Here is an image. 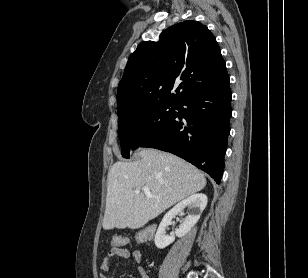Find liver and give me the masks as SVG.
<instances>
[{"instance_id":"liver-1","label":"liver","mask_w":308,"mask_h":278,"mask_svg":"<svg viewBox=\"0 0 308 278\" xmlns=\"http://www.w3.org/2000/svg\"><path fill=\"white\" fill-rule=\"evenodd\" d=\"M137 156L135 161H118L109 170L105 230L143 227L206 186L204 175L178 156L156 149H142ZM144 187L159 198L134 193Z\"/></svg>"}]
</instances>
